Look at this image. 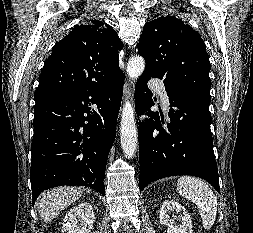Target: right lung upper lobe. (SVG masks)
Masks as SVG:
<instances>
[{"label": "right lung upper lobe", "instance_id": "obj_1", "mask_svg": "<svg viewBox=\"0 0 253 233\" xmlns=\"http://www.w3.org/2000/svg\"><path fill=\"white\" fill-rule=\"evenodd\" d=\"M122 47L117 33L102 21L76 25L54 45L39 75L34 99L108 81L120 71L118 50Z\"/></svg>", "mask_w": 253, "mask_h": 233}]
</instances>
